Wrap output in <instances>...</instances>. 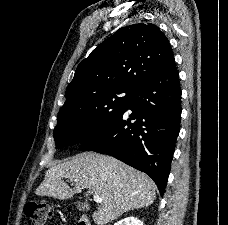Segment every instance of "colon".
I'll list each match as a JSON object with an SVG mask.
<instances>
[{
  "instance_id": "colon-1",
  "label": "colon",
  "mask_w": 228,
  "mask_h": 225,
  "mask_svg": "<svg viewBox=\"0 0 228 225\" xmlns=\"http://www.w3.org/2000/svg\"><path fill=\"white\" fill-rule=\"evenodd\" d=\"M25 214L32 220L33 225H54L49 219V206L43 201H29Z\"/></svg>"
}]
</instances>
